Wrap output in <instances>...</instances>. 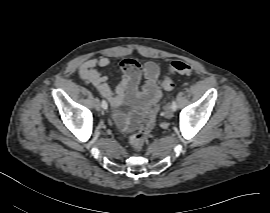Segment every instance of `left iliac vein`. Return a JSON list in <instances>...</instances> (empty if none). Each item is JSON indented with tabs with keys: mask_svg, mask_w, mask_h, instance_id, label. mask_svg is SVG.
Masks as SVG:
<instances>
[{
	"mask_svg": "<svg viewBox=\"0 0 270 213\" xmlns=\"http://www.w3.org/2000/svg\"><path fill=\"white\" fill-rule=\"evenodd\" d=\"M164 116L167 119H171L174 116L173 109L170 105H166L164 109Z\"/></svg>",
	"mask_w": 270,
	"mask_h": 213,
	"instance_id": "1",
	"label": "left iliac vein"
}]
</instances>
